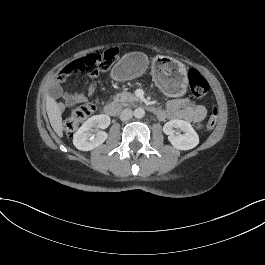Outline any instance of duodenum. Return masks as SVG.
Returning a JSON list of instances; mask_svg holds the SVG:
<instances>
[{"instance_id": "obj_1", "label": "duodenum", "mask_w": 265, "mask_h": 265, "mask_svg": "<svg viewBox=\"0 0 265 265\" xmlns=\"http://www.w3.org/2000/svg\"><path fill=\"white\" fill-rule=\"evenodd\" d=\"M151 109L157 114L160 113V109L156 107H151ZM119 111H120V105L119 103L114 101L107 103L104 107V113L111 117L116 116L119 113Z\"/></svg>"}]
</instances>
